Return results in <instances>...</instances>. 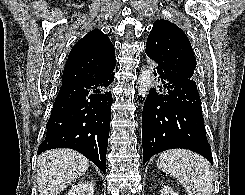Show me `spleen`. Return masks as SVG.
<instances>
[{"instance_id":"1","label":"spleen","mask_w":245,"mask_h":195,"mask_svg":"<svg viewBox=\"0 0 245 195\" xmlns=\"http://www.w3.org/2000/svg\"><path fill=\"white\" fill-rule=\"evenodd\" d=\"M157 166L183 185L189 195H212L213 174L206 159L189 150L174 149L160 154Z\"/></svg>"}]
</instances>
